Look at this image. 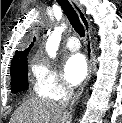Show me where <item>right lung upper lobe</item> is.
Listing matches in <instances>:
<instances>
[{"label":"right lung upper lobe","instance_id":"right-lung-upper-lobe-1","mask_svg":"<svg viewBox=\"0 0 122 123\" xmlns=\"http://www.w3.org/2000/svg\"><path fill=\"white\" fill-rule=\"evenodd\" d=\"M34 41H35V38L33 39V42ZM33 42L31 43L29 48H27L26 50L15 52V56L13 57L12 62H11L10 70L19 66L21 63H23L24 61L27 60V55H28V52L30 51V49L32 48V46L34 44Z\"/></svg>","mask_w":122,"mask_h":123}]
</instances>
